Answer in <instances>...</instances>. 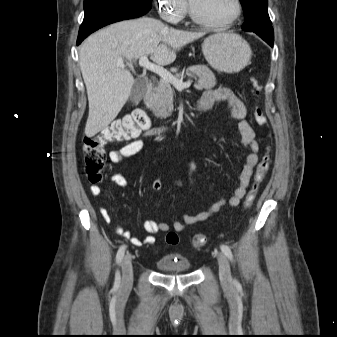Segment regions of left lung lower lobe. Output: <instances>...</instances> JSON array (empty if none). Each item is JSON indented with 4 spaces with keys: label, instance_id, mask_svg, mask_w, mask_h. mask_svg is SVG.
Masks as SVG:
<instances>
[{
    "label": "left lung lower lobe",
    "instance_id": "1",
    "mask_svg": "<svg viewBox=\"0 0 337 337\" xmlns=\"http://www.w3.org/2000/svg\"><path fill=\"white\" fill-rule=\"evenodd\" d=\"M256 33L258 36H260L266 43H268L271 47H273L274 42V35H268L257 31H250Z\"/></svg>",
    "mask_w": 337,
    "mask_h": 337
}]
</instances>
